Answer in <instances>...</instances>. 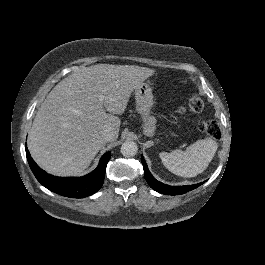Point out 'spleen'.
<instances>
[{
    "instance_id": "obj_1",
    "label": "spleen",
    "mask_w": 265,
    "mask_h": 265,
    "mask_svg": "<svg viewBox=\"0 0 265 265\" xmlns=\"http://www.w3.org/2000/svg\"><path fill=\"white\" fill-rule=\"evenodd\" d=\"M217 149V143L213 140H200L186 151L175 149L170 153H160V158L172 173L184 178H193L207 169Z\"/></svg>"
}]
</instances>
